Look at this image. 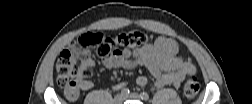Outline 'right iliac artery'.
I'll return each instance as SVG.
<instances>
[{
    "label": "right iliac artery",
    "instance_id": "right-iliac-artery-1",
    "mask_svg": "<svg viewBox=\"0 0 252 104\" xmlns=\"http://www.w3.org/2000/svg\"><path fill=\"white\" fill-rule=\"evenodd\" d=\"M129 93H130V91H129L128 88H124V89L121 90V95L124 96V97L128 96Z\"/></svg>",
    "mask_w": 252,
    "mask_h": 104
}]
</instances>
